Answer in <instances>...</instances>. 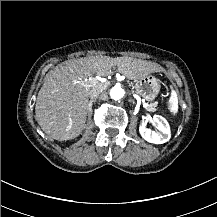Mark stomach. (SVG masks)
Here are the masks:
<instances>
[{"label":"stomach","instance_id":"0dacf381","mask_svg":"<svg viewBox=\"0 0 217 217\" xmlns=\"http://www.w3.org/2000/svg\"><path fill=\"white\" fill-rule=\"evenodd\" d=\"M160 88L161 82L152 74L137 80L135 83L136 93L147 100L155 99L159 94Z\"/></svg>","mask_w":217,"mask_h":217}]
</instances>
